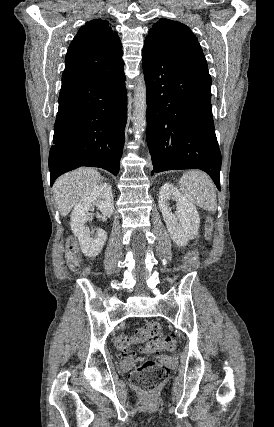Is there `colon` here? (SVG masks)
<instances>
[{"label":"colon","mask_w":274,"mask_h":427,"mask_svg":"<svg viewBox=\"0 0 274 427\" xmlns=\"http://www.w3.org/2000/svg\"><path fill=\"white\" fill-rule=\"evenodd\" d=\"M65 261L69 269L77 270L80 259L77 256L75 241L69 240L65 247ZM115 344L120 352H126L129 348L147 344L153 348L172 351L175 348V340L164 332L156 322H148L136 329L132 334H120L116 336ZM168 378V369L164 365L152 359L142 361L131 372V383L140 395H158L159 389L164 388Z\"/></svg>","instance_id":"5ec220e1"}]
</instances>
